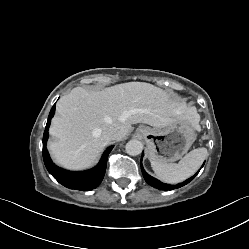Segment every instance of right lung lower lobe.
<instances>
[{"mask_svg": "<svg viewBox=\"0 0 249 249\" xmlns=\"http://www.w3.org/2000/svg\"><path fill=\"white\" fill-rule=\"evenodd\" d=\"M55 113V104L53 105L49 116L48 121L45 127L44 135H43V159L45 166L48 172L63 186L82 190V191H89L97 186L102 182L103 177L105 175L106 165H107V158L111 150L114 146L109 147L103 154L100 162L97 166L93 169L83 172H71L64 169L59 168L56 166L49 156L48 150L46 148V143L48 140V130L51 122V118L54 116Z\"/></svg>", "mask_w": 249, "mask_h": 249, "instance_id": "98d812e1", "label": "right lung lower lobe"}]
</instances>
